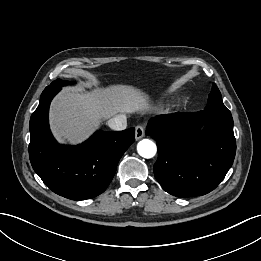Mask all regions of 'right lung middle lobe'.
<instances>
[{"mask_svg":"<svg viewBox=\"0 0 261 261\" xmlns=\"http://www.w3.org/2000/svg\"><path fill=\"white\" fill-rule=\"evenodd\" d=\"M67 84H69L68 81H63V80H61V79H57V80L53 81L50 85H51V86H59V87H62V86L67 85Z\"/></svg>","mask_w":261,"mask_h":261,"instance_id":"right-lung-middle-lobe-1","label":"right lung middle lobe"}]
</instances>
